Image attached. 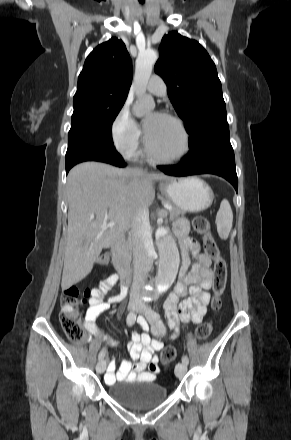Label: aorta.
Listing matches in <instances>:
<instances>
[{
    "label": "aorta",
    "mask_w": 291,
    "mask_h": 440,
    "mask_svg": "<svg viewBox=\"0 0 291 440\" xmlns=\"http://www.w3.org/2000/svg\"><path fill=\"white\" fill-rule=\"evenodd\" d=\"M158 54L154 50L140 52L135 65V84L137 100L133 113L142 117L155 108V102L146 94V86L150 79ZM156 245L159 252V269L156 276V288L159 293L165 292L173 283L179 265V253L174 238L164 229L156 231Z\"/></svg>",
    "instance_id": "1"
}]
</instances>
